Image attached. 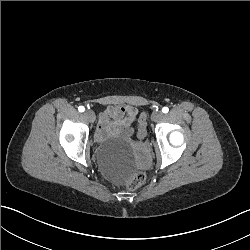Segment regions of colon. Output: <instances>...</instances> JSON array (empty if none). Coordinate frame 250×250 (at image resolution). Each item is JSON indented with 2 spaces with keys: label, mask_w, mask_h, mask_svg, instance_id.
I'll return each mask as SVG.
<instances>
[{
  "label": "colon",
  "mask_w": 250,
  "mask_h": 250,
  "mask_svg": "<svg viewBox=\"0 0 250 250\" xmlns=\"http://www.w3.org/2000/svg\"><path fill=\"white\" fill-rule=\"evenodd\" d=\"M146 118H147L146 113L142 112L139 118L140 127L142 128L141 132L138 133L139 141H142L145 138ZM146 180H147L146 173L143 171H138L135 173L134 176H132L126 181L125 188L129 192H135L139 188H141L142 185L145 184Z\"/></svg>",
  "instance_id": "obj_1"
}]
</instances>
